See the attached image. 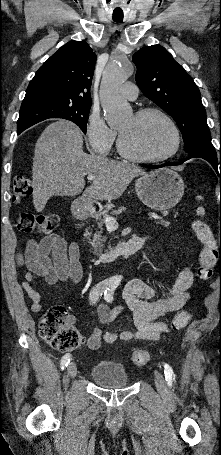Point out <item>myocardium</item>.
Masks as SVG:
<instances>
[{
    "mask_svg": "<svg viewBox=\"0 0 221 455\" xmlns=\"http://www.w3.org/2000/svg\"><path fill=\"white\" fill-rule=\"evenodd\" d=\"M150 115H157L161 117L170 127L174 138V144L172 149L168 153L160 156H141L129 151L126 148L123 136L118 131L117 149L120 155L123 156L124 158L140 163H159L172 158L179 151L181 146L180 132L174 120L166 112L158 108L148 107L140 109L134 113V116L136 118H144Z\"/></svg>",
    "mask_w": 221,
    "mask_h": 455,
    "instance_id": "1",
    "label": "myocardium"
}]
</instances>
